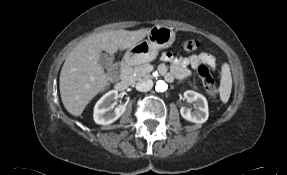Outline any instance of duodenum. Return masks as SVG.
Wrapping results in <instances>:
<instances>
[{"mask_svg": "<svg viewBox=\"0 0 287 175\" xmlns=\"http://www.w3.org/2000/svg\"><path fill=\"white\" fill-rule=\"evenodd\" d=\"M121 77L119 81L116 83V88L120 91L126 90L131 83L130 78V60L126 59L121 63Z\"/></svg>", "mask_w": 287, "mask_h": 175, "instance_id": "obj_1", "label": "duodenum"}]
</instances>
